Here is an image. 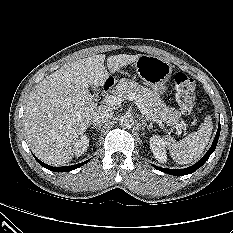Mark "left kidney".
Masks as SVG:
<instances>
[{
  "label": "left kidney",
  "instance_id": "1",
  "mask_svg": "<svg viewBox=\"0 0 233 233\" xmlns=\"http://www.w3.org/2000/svg\"><path fill=\"white\" fill-rule=\"evenodd\" d=\"M150 149L153 152V155L155 156V158L159 162L161 163L166 162L167 156H166L165 146L163 144L162 139L159 136L153 135L150 138Z\"/></svg>",
  "mask_w": 233,
  "mask_h": 233
}]
</instances>
